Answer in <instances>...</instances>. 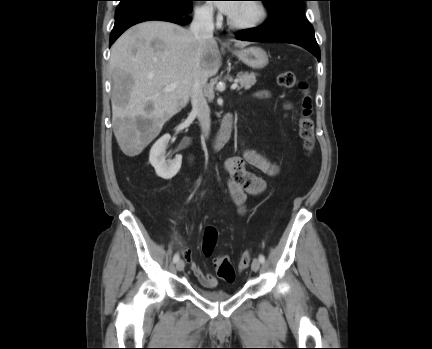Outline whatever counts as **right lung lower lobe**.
I'll return each mask as SVG.
<instances>
[{
  "instance_id": "98d812e1",
  "label": "right lung lower lobe",
  "mask_w": 432,
  "mask_h": 349,
  "mask_svg": "<svg viewBox=\"0 0 432 349\" xmlns=\"http://www.w3.org/2000/svg\"><path fill=\"white\" fill-rule=\"evenodd\" d=\"M192 10L191 5L183 8L153 1L138 2L119 8L115 16V24L111 31L110 44L129 27L150 20L169 21L177 24H187L190 17L185 16Z\"/></svg>"
}]
</instances>
